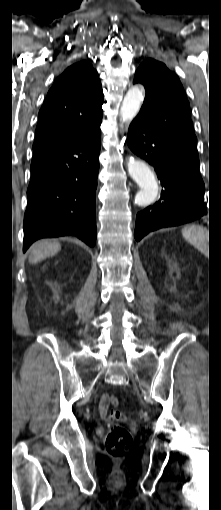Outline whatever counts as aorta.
<instances>
[{
	"mask_svg": "<svg viewBox=\"0 0 221 510\" xmlns=\"http://www.w3.org/2000/svg\"><path fill=\"white\" fill-rule=\"evenodd\" d=\"M143 99L144 93L140 88L135 86L128 90L120 108L122 123L132 121L136 117ZM128 173L140 188L135 196V203L142 207L150 205L158 194V183L150 167L143 161L130 160Z\"/></svg>",
	"mask_w": 221,
	"mask_h": 510,
	"instance_id": "762f6f07",
	"label": "aorta"
}]
</instances>
